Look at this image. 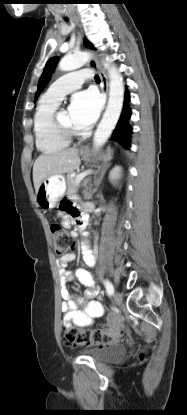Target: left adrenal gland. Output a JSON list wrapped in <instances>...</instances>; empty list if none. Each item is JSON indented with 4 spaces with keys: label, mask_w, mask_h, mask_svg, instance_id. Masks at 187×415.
Listing matches in <instances>:
<instances>
[{
    "label": "left adrenal gland",
    "mask_w": 187,
    "mask_h": 415,
    "mask_svg": "<svg viewBox=\"0 0 187 415\" xmlns=\"http://www.w3.org/2000/svg\"><path fill=\"white\" fill-rule=\"evenodd\" d=\"M109 166H110V164H104V165H103V168H102V171H101V176H100V178H99L98 180H96V185H97V186L101 183L102 178H103V176H104V174H105V172H106V169H107Z\"/></svg>",
    "instance_id": "1"
}]
</instances>
